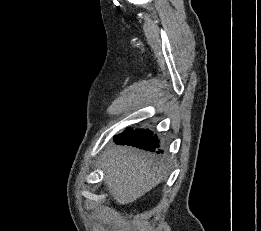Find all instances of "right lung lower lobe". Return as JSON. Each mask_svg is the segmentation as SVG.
Here are the masks:
<instances>
[{
    "instance_id": "98d812e1",
    "label": "right lung lower lobe",
    "mask_w": 261,
    "mask_h": 231,
    "mask_svg": "<svg viewBox=\"0 0 261 231\" xmlns=\"http://www.w3.org/2000/svg\"><path fill=\"white\" fill-rule=\"evenodd\" d=\"M114 141L119 145H130L140 149L155 152L159 147V141L156 136H153L148 130H129L127 129L122 134L115 136ZM158 154L163 153L161 150L156 151Z\"/></svg>"
}]
</instances>
